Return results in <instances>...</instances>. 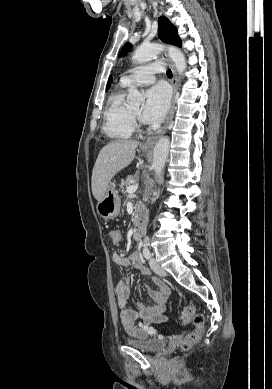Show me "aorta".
I'll return each instance as SVG.
<instances>
[{"label": "aorta", "mask_w": 272, "mask_h": 389, "mask_svg": "<svg viewBox=\"0 0 272 389\" xmlns=\"http://www.w3.org/2000/svg\"><path fill=\"white\" fill-rule=\"evenodd\" d=\"M163 49L164 46L158 43L141 45L135 50L132 59L137 63H145L155 58ZM167 50L169 57L174 62L178 73L181 75L187 67L184 54L180 51V49L174 46L167 47ZM144 99V95L137 89H129V93L127 96L128 103L140 104L144 101ZM169 146L170 139L168 137H162L161 139H159V141L154 147L153 168L157 176L160 175L164 169L169 153Z\"/></svg>", "instance_id": "aorta-1"}]
</instances>
